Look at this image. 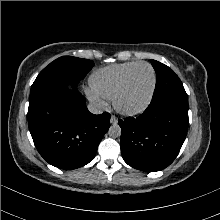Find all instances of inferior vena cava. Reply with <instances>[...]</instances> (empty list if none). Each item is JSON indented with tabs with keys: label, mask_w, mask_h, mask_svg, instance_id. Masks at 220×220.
Masks as SVG:
<instances>
[{
	"label": "inferior vena cava",
	"mask_w": 220,
	"mask_h": 220,
	"mask_svg": "<svg viewBox=\"0 0 220 220\" xmlns=\"http://www.w3.org/2000/svg\"><path fill=\"white\" fill-rule=\"evenodd\" d=\"M103 109H104V106L102 102L94 101L88 104V110L92 114H96V115L101 114L103 113Z\"/></svg>",
	"instance_id": "602c4592"
}]
</instances>
